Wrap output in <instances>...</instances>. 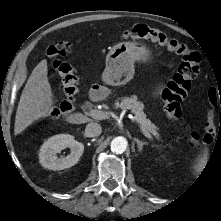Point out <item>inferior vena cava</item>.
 <instances>
[{
    "instance_id": "602c4592",
    "label": "inferior vena cava",
    "mask_w": 221,
    "mask_h": 221,
    "mask_svg": "<svg viewBox=\"0 0 221 221\" xmlns=\"http://www.w3.org/2000/svg\"><path fill=\"white\" fill-rule=\"evenodd\" d=\"M102 128L100 124L95 122H90L86 125L85 134L88 137H97L101 134Z\"/></svg>"
}]
</instances>
